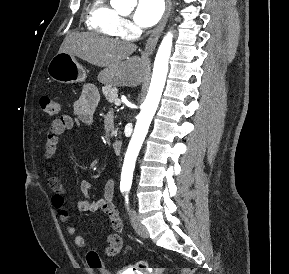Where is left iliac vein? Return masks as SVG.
Returning a JSON list of instances; mask_svg holds the SVG:
<instances>
[{
    "instance_id": "4c4485c4",
    "label": "left iliac vein",
    "mask_w": 289,
    "mask_h": 274,
    "mask_svg": "<svg viewBox=\"0 0 289 274\" xmlns=\"http://www.w3.org/2000/svg\"><path fill=\"white\" fill-rule=\"evenodd\" d=\"M131 224L138 235L143 238L148 237V231L146 227L141 223L140 218L135 211H131Z\"/></svg>"
}]
</instances>
